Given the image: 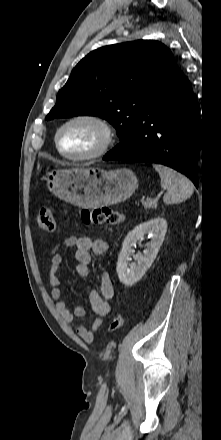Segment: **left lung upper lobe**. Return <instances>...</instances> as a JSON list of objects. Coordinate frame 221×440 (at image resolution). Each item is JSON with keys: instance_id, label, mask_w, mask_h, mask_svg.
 Segmentation results:
<instances>
[{"instance_id": "1", "label": "left lung upper lobe", "mask_w": 221, "mask_h": 440, "mask_svg": "<svg viewBox=\"0 0 221 440\" xmlns=\"http://www.w3.org/2000/svg\"><path fill=\"white\" fill-rule=\"evenodd\" d=\"M177 71L172 53L158 41L101 47L75 66L46 119L78 115L104 118L121 140L110 152H121L147 104Z\"/></svg>"}]
</instances>
